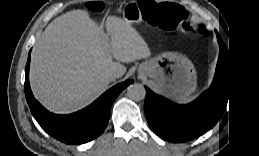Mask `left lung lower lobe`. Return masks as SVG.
I'll list each match as a JSON object with an SVG mask.
<instances>
[{"mask_svg":"<svg viewBox=\"0 0 259 156\" xmlns=\"http://www.w3.org/2000/svg\"><path fill=\"white\" fill-rule=\"evenodd\" d=\"M217 37L220 55L215 79L197 100L178 105L145 87V115L152 130L162 139L174 143L192 140L210 130L221 118L230 94L231 65L228 49L218 33Z\"/></svg>","mask_w":259,"mask_h":156,"instance_id":"left-lung-lower-lobe-1","label":"left lung lower lobe"}]
</instances>
